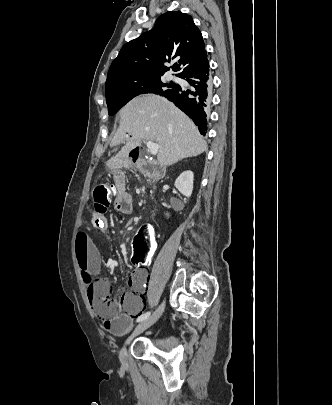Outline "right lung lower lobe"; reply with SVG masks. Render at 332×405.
Instances as JSON below:
<instances>
[{
	"mask_svg": "<svg viewBox=\"0 0 332 405\" xmlns=\"http://www.w3.org/2000/svg\"><path fill=\"white\" fill-rule=\"evenodd\" d=\"M179 77L185 79L191 87L187 89L176 85L170 91L165 92L163 96L185 112L198 126L200 133L205 135L207 131L206 117L209 113L212 95L208 59Z\"/></svg>",
	"mask_w": 332,
	"mask_h": 405,
	"instance_id": "right-lung-lower-lobe-1",
	"label": "right lung lower lobe"
}]
</instances>
